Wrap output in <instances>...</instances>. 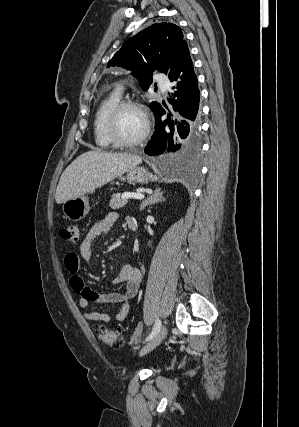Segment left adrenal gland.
I'll return each mask as SVG.
<instances>
[{
  "mask_svg": "<svg viewBox=\"0 0 299 427\" xmlns=\"http://www.w3.org/2000/svg\"><path fill=\"white\" fill-rule=\"evenodd\" d=\"M163 200L165 199L163 197V192L161 191V188H156L153 194H151L149 198L142 202V204L140 205V210H143L148 205L162 202Z\"/></svg>",
  "mask_w": 299,
  "mask_h": 427,
  "instance_id": "a2214340",
  "label": "left adrenal gland"
}]
</instances>
